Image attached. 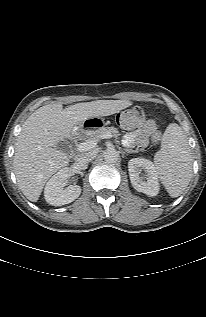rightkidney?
Wrapping results in <instances>:
<instances>
[{
	"mask_svg": "<svg viewBox=\"0 0 206 317\" xmlns=\"http://www.w3.org/2000/svg\"><path fill=\"white\" fill-rule=\"evenodd\" d=\"M70 177L68 168L57 172L46 184L44 197L47 203L54 206L69 204L77 199L81 194V187L70 185L63 188L64 183Z\"/></svg>",
	"mask_w": 206,
	"mask_h": 317,
	"instance_id": "obj_1",
	"label": "right kidney"
}]
</instances>
